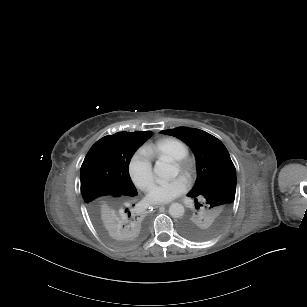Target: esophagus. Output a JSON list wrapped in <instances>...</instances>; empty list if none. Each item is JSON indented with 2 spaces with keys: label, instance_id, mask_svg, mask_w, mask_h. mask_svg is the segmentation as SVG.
Returning <instances> with one entry per match:
<instances>
[{
  "label": "esophagus",
  "instance_id": "1",
  "mask_svg": "<svg viewBox=\"0 0 307 307\" xmlns=\"http://www.w3.org/2000/svg\"><path fill=\"white\" fill-rule=\"evenodd\" d=\"M153 207H154V208H159V207H161V205H160V204H158V205H153Z\"/></svg>",
  "mask_w": 307,
  "mask_h": 307
}]
</instances>
